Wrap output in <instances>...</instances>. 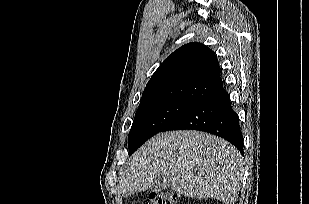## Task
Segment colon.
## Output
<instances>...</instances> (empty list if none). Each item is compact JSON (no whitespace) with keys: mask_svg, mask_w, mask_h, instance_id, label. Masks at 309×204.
<instances>
[{"mask_svg":"<svg viewBox=\"0 0 309 204\" xmlns=\"http://www.w3.org/2000/svg\"><path fill=\"white\" fill-rule=\"evenodd\" d=\"M176 195L169 192H153L143 204H176Z\"/></svg>","mask_w":309,"mask_h":204,"instance_id":"obj_1","label":"colon"}]
</instances>
